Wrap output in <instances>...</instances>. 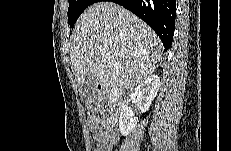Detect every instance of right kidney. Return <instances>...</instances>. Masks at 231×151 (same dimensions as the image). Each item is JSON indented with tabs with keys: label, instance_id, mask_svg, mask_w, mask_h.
Masks as SVG:
<instances>
[{
	"label": "right kidney",
	"instance_id": "obj_1",
	"mask_svg": "<svg viewBox=\"0 0 231 151\" xmlns=\"http://www.w3.org/2000/svg\"><path fill=\"white\" fill-rule=\"evenodd\" d=\"M160 87V79L157 75H150L141 81L135 88L133 100L138 106L140 112L144 113L149 110L150 105L156 97ZM138 118L127 106H122L119 117V129L123 136H128L135 128Z\"/></svg>",
	"mask_w": 231,
	"mask_h": 151
}]
</instances>
